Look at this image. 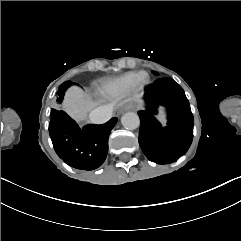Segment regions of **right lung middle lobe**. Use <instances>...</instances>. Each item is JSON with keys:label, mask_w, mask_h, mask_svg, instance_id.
Instances as JSON below:
<instances>
[{"label": "right lung middle lobe", "mask_w": 241, "mask_h": 241, "mask_svg": "<svg viewBox=\"0 0 241 241\" xmlns=\"http://www.w3.org/2000/svg\"><path fill=\"white\" fill-rule=\"evenodd\" d=\"M74 83H72L71 81H66L64 83H62L55 95V99H54V103H53V108L51 109V114L55 113L57 111H60L61 109V104L63 102V98L65 95V91Z\"/></svg>", "instance_id": "dd1d6c3e"}]
</instances>
